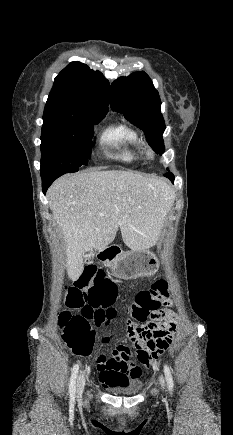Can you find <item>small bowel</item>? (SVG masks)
Here are the masks:
<instances>
[{
	"instance_id": "small-bowel-1",
	"label": "small bowel",
	"mask_w": 233,
	"mask_h": 435,
	"mask_svg": "<svg viewBox=\"0 0 233 435\" xmlns=\"http://www.w3.org/2000/svg\"><path fill=\"white\" fill-rule=\"evenodd\" d=\"M118 285L111 279L109 283L100 284L93 282L83 292L85 298H89L97 293H102L111 297H115L118 293ZM163 305L168 307L171 305V300L164 298ZM141 321L140 319H137ZM176 318L172 312L160 311L151 321L148 322L153 328L160 329L165 325L175 326ZM109 338H113L111 335ZM144 344L142 343V346ZM144 349H147L144 347ZM97 370L99 373V381L106 388H115L127 386L131 380L137 381L140 379L142 371L139 367H129L124 364L123 357L120 354L112 353L106 356L103 360H97Z\"/></svg>"
}]
</instances>
